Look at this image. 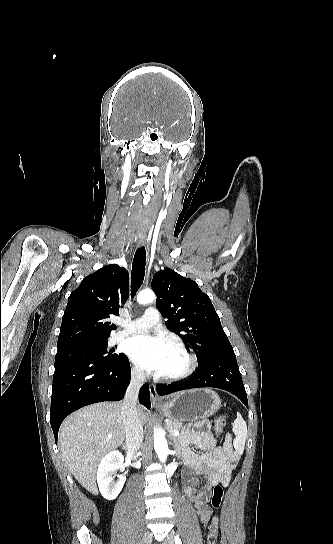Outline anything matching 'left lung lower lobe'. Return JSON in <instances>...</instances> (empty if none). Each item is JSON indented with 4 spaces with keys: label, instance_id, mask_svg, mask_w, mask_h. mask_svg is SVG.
<instances>
[{
    "label": "left lung lower lobe",
    "instance_id": "1",
    "mask_svg": "<svg viewBox=\"0 0 333 544\" xmlns=\"http://www.w3.org/2000/svg\"><path fill=\"white\" fill-rule=\"evenodd\" d=\"M199 387H215L226 390L236 395L248 408L247 395L236 357H212L198 364L196 373L187 381L176 385L159 384L156 389L163 396Z\"/></svg>",
    "mask_w": 333,
    "mask_h": 544
}]
</instances>
